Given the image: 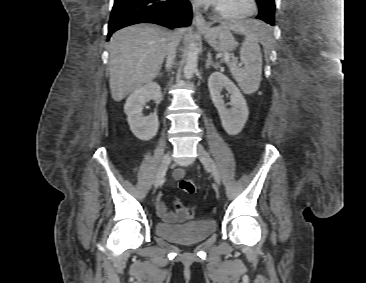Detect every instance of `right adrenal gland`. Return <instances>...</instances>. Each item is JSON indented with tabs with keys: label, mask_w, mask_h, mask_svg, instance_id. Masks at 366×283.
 <instances>
[{
	"label": "right adrenal gland",
	"mask_w": 366,
	"mask_h": 283,
	"mask_svg": "<svg viewBox=\"0 0 366 283\" xmlns=\"http://www.w3.org/2000/svg\"><path fill=\"white\" fill-rule=\"evenodd\" d=\"M162 75H163V73L160 71V72L158 73V76H160V77H161Z\"/></svg>",
	"instance_id": "obj_1"
}]
</instances>
